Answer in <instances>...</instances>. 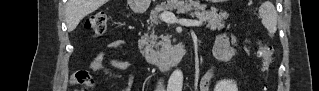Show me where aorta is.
I'll use <instances>...</instances> for the list:
<instances>
[{
  "label": "aorta",
  "mask_w": 319,
  "mask_h": 91,
  "mask_svg": "<svg viewBox=\"0 0 319 91\" xmlns=\"http://www.w3.org/2000/svg\"><path fill=\"white\" fill-rule=\"evenodd\" d=\"M183 86V73L181 70H174L168 82V89L170 91H181Z\"/></svg>",
  "instance_id": "1"
}]
</instances>
